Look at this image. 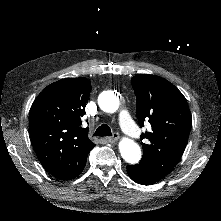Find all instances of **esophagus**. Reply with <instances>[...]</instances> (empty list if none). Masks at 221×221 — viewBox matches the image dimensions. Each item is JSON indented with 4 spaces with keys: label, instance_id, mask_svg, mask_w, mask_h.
<instances>
[{
    "label": "esophagus",
    "instance_id": "1",
    "mask_svg": "<svg viewBox=\"0 0 221 221\" xmlns=\"http://www.w3.org/2000/svg\"><path fill=\"white\" fill-rule=\"evenodd\" d=\"M119 139V134L118 133H114L112 137H107L106 140L108 141V143L113 144L115 142H117Z\"/></svg>",
    "mask_w": 221,
    "mask_h": 221
}]
</instances>
